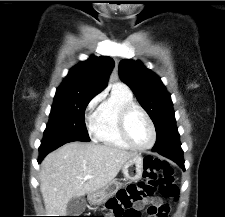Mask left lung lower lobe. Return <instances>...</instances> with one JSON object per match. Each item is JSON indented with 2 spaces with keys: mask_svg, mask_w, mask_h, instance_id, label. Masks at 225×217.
Instances as JSON below:
<instances>
[{
  "mask_svg": "<svg viewBox=\"0 0 225 217\" xmlns=\"http://www.w3.org/2000/svg\"><path fill=\"white\" fill-rule=\"evenodd\" d=\"M153 151L159 153L160 155L167 157L174 162H176L178 165L182 167L183 170L184 168V159H183V150L181 149V144L180 142H176L171 145H167L161 148L157 149H152Z\"/></svg>",
  "mask_w": 225,
  "mask_h": 217,
  "instance_id": "obj_1",
  "label": "left lung lower lobe"
}]
</instances>
